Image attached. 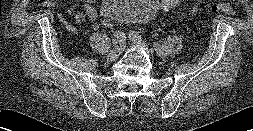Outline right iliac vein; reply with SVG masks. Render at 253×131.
<instances>
[{
    "mask_svg": "<svg viewBox=\"0 0 253 131\" xmlns=\"http://www.w3.org/2000/svg\"><path fill=\"white\" fill-rule=\"evenodd\" d=\"M123 46H124V43L121 42L119 43L118 45H116L111 51L110 53L108 54L107 56V59L110 60V61H114L116 60L119 55L121 54L122 50H123Z\"/></svg>",
    "mask_w": 253,
    "mask_h": 131,
    "instance_id": "right-iliac-vein-1",
    "label": "right iliac vein"
}]
</instances>
